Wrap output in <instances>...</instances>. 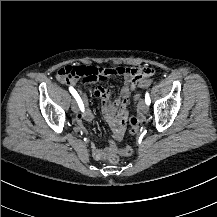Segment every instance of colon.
<instances>
[{
    "instance_id": "1",
    "label": "colon",
    "mask_w": 217,
    "mask_h": 217,
    "mask_svg": "<svg viewBox=\"0 0 217 217\" xmlns=\"http://www.w3.org/2000/svg\"><path fill=\"white\" fill-rule=\"evenodd\" d=\"M153 70L146 67H130V66H114L112 68H96V67H85V66H64L58 70L55 75V80L59 84H64L66 82L76 81L83 78L84 81L89 82L96 80L101 75L106 73H113L115 75H128L134 76L135 74H150ZM153 77L150 79H145V81H140L138 83L139 87H149L152 83ZM139 130L138 120L135 117L130 119V132L135 134ZM122 153L125 156H130L132 151L130 149L124 148ZM120 158L117 155L109 158V162L112 165L119 163Z\"/></svg>"
}]
</instances>
